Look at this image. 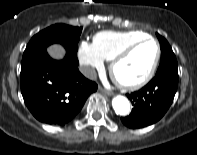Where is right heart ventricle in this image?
<instances>
[{
  "mask_svg": "<svg viewBox=\"0 0 197 155\" xmlns=\"http://www.w3.org/2000/svg\"><path fill=\"white\" fill-rule=\"evenodd\" d=\"M147 37L142 31H102L93 38V45L104 60L111 61L125 46Z\"/></svg>",
  "mask_w": 197,
  "mask_h": 155,
  "instance_id": "e07e8e85",
  "label": "right heart ventricle"
}]
</instances>
